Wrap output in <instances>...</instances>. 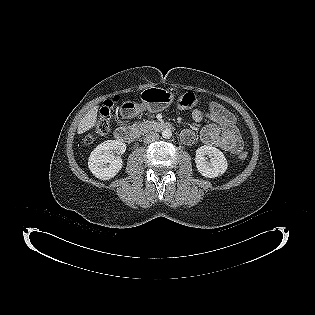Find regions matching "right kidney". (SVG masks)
<instances>
[{
	"instance_id": "1",
	"label": "right kidney",
	"mask_w": 315,
	"mask_h": 315,
	"mask_svg": "<svg viewBox=\"0 0 315 315\" xmlns=\"http://www.w3.org/2000/svg\"><path fill=\"white\" fill-rule=\"evenodd\" d=\"M126 151V144L117 140H107L99 144L90 154L88 167L92 174L101 180L113 178L122 168L120 156Z\"/></svg>"
}]
</instances>
